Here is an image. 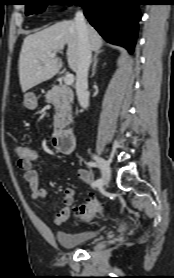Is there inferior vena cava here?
Returning <instances> with one entry per match:
<instances>
[{
    "instance_id": "inferior-vena-cava-1",
    "label": "inferior vena cava",
    "mask_w": 174,
    "mask_h": 278,
    "mask_svg": "<svg viewBox=\"0 0 174 278\" xmlns=\"http://www.w3.org/2000/svg\"><path fill=\"white\" fill-rule=\"evenodd\" d=\"M74 22L79 39V65L76 71V93L79 104L83 108L89 106L88 70L91 63V48L88 40V27L82 11H77Z\"/></svg>"
}]
</instances>
